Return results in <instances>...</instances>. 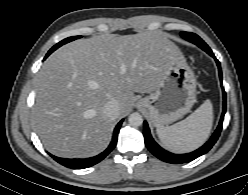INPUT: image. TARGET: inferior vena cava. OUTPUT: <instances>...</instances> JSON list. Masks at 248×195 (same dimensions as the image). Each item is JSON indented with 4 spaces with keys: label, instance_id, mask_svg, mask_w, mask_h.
Wrapping results in <instances>:
<instances>
[{
    "label": "inferior vena cava",
    "instance_id": "1",
    "mask_svg": "<svg viewBox=\"0 0 248 195\" xmlns=\"http://www.w3.org/2000/svg\"><path fill=\"white\" fill-rule=\"evenodd\" d=\"M119 111V103L115 100L108 101L103 108V113L111 119H117Z\"/></svg>",
    "mask_w": 248,
    "mask_h": 195
}]
</instances>
